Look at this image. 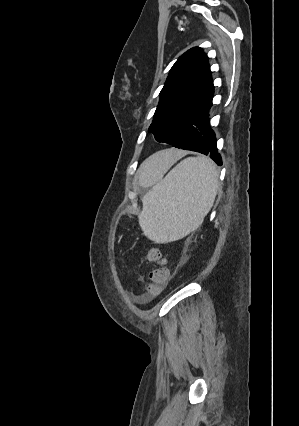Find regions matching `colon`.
<instances>
[{"mask_svg":"<svg viewBox=\"0 0 299 426\" xmlns=\"http://www.w3.org/2000/svg\"><path fill=\"white\" fill-rule=\"evenodd\" d=\"M146 260L150 263L159 265L150 272L148 281H146L143 286L144 300L151 301L158 297L166 287L170 272L169 269L164 265L162 253L159 249L152 248L148 250Z\"/></svg>","mask_w":299,"mask_h":426,"instance_id":"obj_1","label":"colon"}]
</instances>
